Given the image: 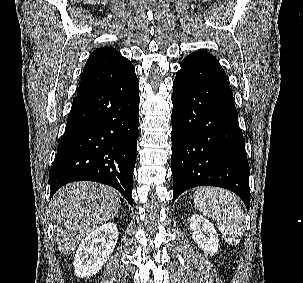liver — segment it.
Wrapping results in <instances>:
<instances>
[{
  "mask_svg": "<svg viewBox=\"0 0 303 283\" xmlns=\"http://www.w3.org/2000/svg\"><path fill=\"white\" fill-rule=\"evenodd\" d=\"M117 190L93 182L72 183L60 188L51 201L58 248L68 256L77 245L120 209Z\"/></svg>",
  "mask_w": 303,
  "mask_h": 283,
  "instance_id": "1",
  "label": "liver"
}]
</instances>
